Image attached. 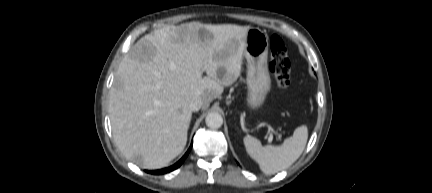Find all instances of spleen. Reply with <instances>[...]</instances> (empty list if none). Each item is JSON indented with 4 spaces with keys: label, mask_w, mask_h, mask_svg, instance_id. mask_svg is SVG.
I'll return each instance as SVG.
<instances>
[{
    "label": "spleen",
    "mask_w": 432,
    "mask_h": 193,
    "mask_svg": "<svg viewBox=\"0 0 432 193\" xmlns=\"http://www.w3.org/2000/svg\"><path fill=\"white\" fill-rule=\"evenodd\" d=\"M307 139V127L302 125L281 146H262L258 139L250 135L244 137L243 141L247 153L259 164L260 170L271 175L290 167L301 156Z\"/></svg>",
    "instance_id": "spleen-1"
}]
</instances>
